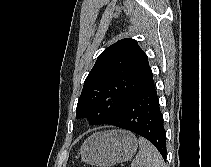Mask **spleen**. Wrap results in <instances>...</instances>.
Listing matches in <instances>:
<instances>
[{"mask_svg": "<svg viewBox=\"0 0 211 167\" xmlns=\"http://www.w3.org/2000/svg\"><path fill=\"white\" fill-rule=\"evenodd\" d=\"M139 147L131 167H165L161 154L148 140L140 137Z\"/></svg>", "mask_w": 211, "mask_h": 167, "instance_id": "3e777b00", "label": "spleen"}]
</instances>
